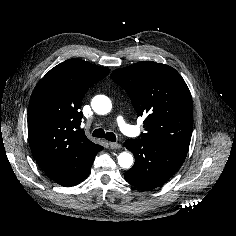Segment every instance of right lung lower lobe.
I'll return each instance as SVG.
<instances>
[{
    "label": "right lung lower lobe",
    "instance_id": "right-lung-lower-lobe-1",
    "mask_svg": "<svg viewBox=\"0 0 236 236\" xmlns=\"http://www.w3.org/2000/svg\"><path fill=\"white\" fill-rule=\"evenodd\" d=\"M102 149L103 147L99 146L93 153L77 155L42 170L51 180L62 186H74L88 176L95 155Z\"/></svg>",
    "mask_w": 236,
    "mask_h": 236
}]
</instances>
